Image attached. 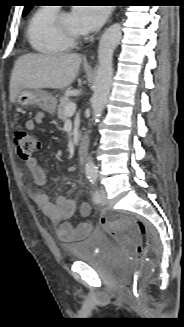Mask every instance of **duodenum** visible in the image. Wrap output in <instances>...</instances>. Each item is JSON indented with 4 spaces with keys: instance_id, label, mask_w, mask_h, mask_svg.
<instances>
[{
    "instance_id": "duodenum-1",
    "label": "duodenum",
    "mask_w": 184,
    "mask_h": 327,
    "mask_svg": "<svg viewBox=\"0 0 184 327\" xmlns=\"http://www.w3.org/2000/svg\"><path fill=\"white\" fill-rule=\"evenodd\" d=\"M88 149V140L86 138H82L78 146V158L81 164H84L86 159Z\"/></svg>"
}]
</instances>
